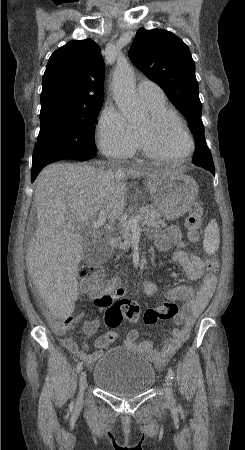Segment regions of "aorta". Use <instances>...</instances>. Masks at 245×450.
Returning <instances> with one entry per match:
<instances>
[{
  "instance_id": "1",
  "label": "aorta",
  "mask_w": 245,
  "mask_h": 450,
  "mask_svg": "<svg viewBox=\"0 0 245 450\" xmlns=\"http://www.w3.org/2000/svg\"><path fill=\"white\" fill-rule=\"evenodd\" d=\"M135 77L132 67L119 63L113 76V94L115 102L131 124H136L144 117V109L135 93Z\"/></svg>"
}]
</instances>
